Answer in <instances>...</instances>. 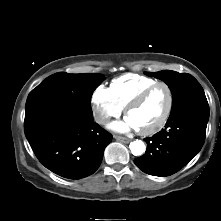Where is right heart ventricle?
I'll return each instance as SVG.
<instances>
[{"label": "right heart ventricle", "instance_id": "right-heart-ventricle-1", "mask_svg": "<svg viewBox=\"0 0 221 221\" xmlns=\"http://www.w3.org/2000/svg\"><path fill=\"white\" fill-rule=\"evenodd\" d=\"M157 82L156 79L138 74H125L111 81L110 90L117 104L124 109L141 91Z\"/></svg>", "mask_w": 221, "mask_h": 221}]
</instances>
